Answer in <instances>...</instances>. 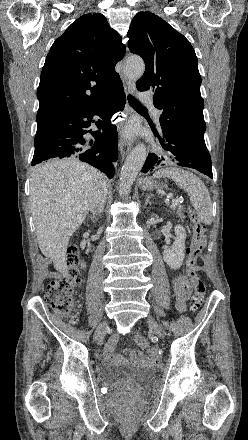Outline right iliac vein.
<instances>
[{"label":"right iliac vein","instance_id":"63e3f726","mask_svg":"<svg viewBox=\"0 0 248 440\" xmlns=\"http://www.w3.org/2000/svg\"><path fill=\"white\" fill-rule=\"evenodd\" d=\"M106 328H107V322H105V321L99 325V327L97 328L96 333H95L96 341H101L104 338Z\"/></svg>","mask_w":248,"mask_h":440}]
</instances>
